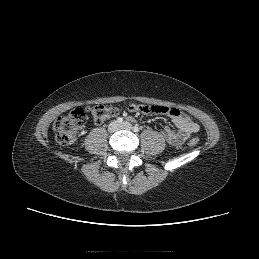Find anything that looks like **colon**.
I'll use <instances>...</instances> for the list:
<instances>
[{"label":"colon","mask_w":259,"mask_h":259,"mask_svg":"<svg viewBox=\"0 0 259 259\" xmlns=\"http://www.w3.org/2000/svg\"><path fill=\"white\" fill-rule=\"evenodd\" d=\"M87 114H90L95 123L115 117L119 114V109L114 106L96 105L86 109L76 108L68 114L59 116L53 125L56 142L60 145L67 146L73 144L77 138L79 131L83 128L87 120ZM199 143V139L194 137L188 142L190 147H195Z\"/></svg>","instance_id":"1"}]
</instances>
